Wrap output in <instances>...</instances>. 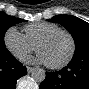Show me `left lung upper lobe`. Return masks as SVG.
Here are the masks:
<instances>
[{
  "instance_id": "obj_1",
  "label": "left lung upper lobe",
  "mask_w": 89,
  "mask_h": 89,
  "mask_svg": "<svg viewBox=\"0 0 89 89\" xmlns=\"http://www.w3.org/2000/svg\"><path fill=\"white\" fill-rule=\"evenodd\" d=\"M64 26L73 36L75 41V53L89 51V23L70 15H57L50 20Z\"/></svg>"
}]
</instances>
